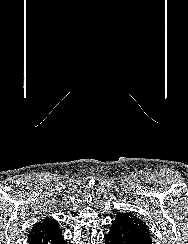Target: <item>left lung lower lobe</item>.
I'll return each instance as SVG.
<instances>
[{
    "label": "left lung lower lobe",
    "mask_w": 188,
    "mask_h": 244,
    "mask_svg": "<svg viewBox=\"0 0 188 244\" xmlns=\"http://www.w3.org/2000/svg\"><path fill=\"white\" fill-rule=\"evenodd\" d=\"M105 243L152 244V240L125 213H118L106 235Z\"/></svg>",
    "instance_id": "left-lung-lower-lobe-1"
}]
</instances>
